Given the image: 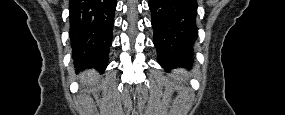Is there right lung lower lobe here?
I'll list each match as a JSON object with an SVG mask.
<instances>
[{
  "label": "right lung lower lobe",
  "instance_id": "right-lung-lower-lobe-1",
  "mask_svg": "<svg viewBox=\"0 0 285 115\" xmlns=\"http://www.w3.org/2000/svg\"><path fill=\"white\" fill-rule=\"evenodd\" d=\"M69 10L75 67L104 71L112 44L116 0H70Z\"/></svg>",
  "mask_w": 285,
  "mask_h": 115
}]
</instances>
